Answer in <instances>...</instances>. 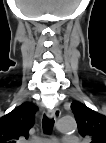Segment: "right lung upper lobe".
Wrapping results in <instances>:
<instances>
[{
  "mask_svg": "<svg viewBox=\"0 0 106 143\" xmlns=\"http://www.w3.org/2000/svg\"><path fill=\"white\" fill-rule=\"evenodd\" d=\"M38 107L25 102L0 118V143H17L19 138H28L33 127Z\"/></svg>",
  "mask_w": 106,
  "mask_h": 143,
  "instance_id": "cb5924a9",
  "label": "right lung upper lobe"
}]
</instances>
